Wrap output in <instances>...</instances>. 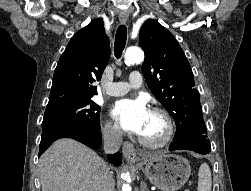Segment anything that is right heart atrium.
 Wrapping results in <instances>:
<instances>
[{"label":"right heart atrium","mask_w":251,"mask_h":191,"mask_svg":"<svg viewBox=\"0 0 251 191\" xmlns=\"http://www.w3.org/2000/svg\"><path fill=\"white\" fill-rule=\"evenodd\" d=\"M101 133L105 142L109 144H117L120 142L121 134L119 130L110 122H105L102 125Z\"/></svg>","instance_id":"d8ad5b80"}]
</instances>
